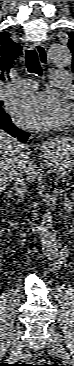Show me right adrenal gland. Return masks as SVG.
<instances>
[{"label":"right adrenal gland","mask_w":74,"mask_h":366,"mask_svg":"<svg viewBox=\"0 0 74 366\" xmlns=\"http://www.w3.org/2000/svg\"><path fill=\"white\" fill-rule=\"evenodd\" d=\"M12 196H13L12 191H9V192L7 193V197H8V198H11Z\"/></svg>","instance_id":"right-adrenal-gland-1"}]
</instances>
